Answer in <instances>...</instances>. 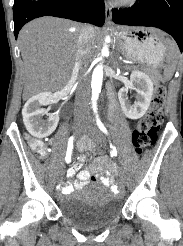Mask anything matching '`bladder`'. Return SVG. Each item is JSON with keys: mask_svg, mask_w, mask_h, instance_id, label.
<instances>
[{"mask_svg": "<svg viewBox=\"0 0 183 246\" xmlns=\"http://www.w3.org/2000/svg\"><path fill=\"white\" fill-rule=\"evenodd\" d=\"M60 210L74 225L92 228L114 220L121 211V205L104 186L91 184L80 197L62 202Z\"/></svg>", "mask_w": 183, "mask_h": 246, "instance_id": "obj_1", "label": "bladder"}]
</instances>
